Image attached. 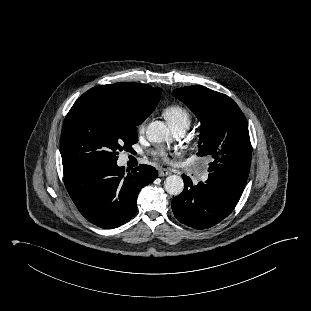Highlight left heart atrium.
<instances>
[{
  "label": "left heart atrium",
  "instance_id": "left-heart-atrium-1",
  "mask_svg": "<svg viewBox=\"0 0 311 311\" xmlns=\"http://www.w3.org/2000/svg\"><path fill=\"white\" fill-rule=\"evenodd\" d=\"M161 156L166 158V154L164 152L161 153Z\"/></svg>",
  "mask_w": 311,
  "mask_h": 311
}]
</instances>
